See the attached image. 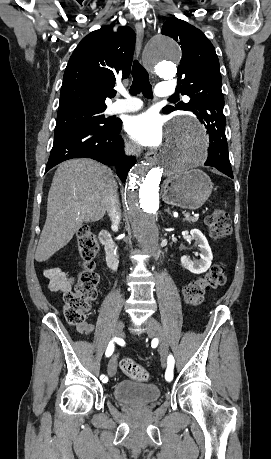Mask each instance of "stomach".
Instances as JSON below:
<instances>
[{"label":"stomach","mask_w":271,"mask_h":459,"mask_svg":"<svg viewBox=\"0 0 271 459\" xmlns=\"http://www.w3.org/2000/svg\"><path fill=\"white\" fill-rule=\"evenodd\" d=\"M213 190V184L202 170L181 172L165 180L162 198L165 204L197 210L205 204Z\"/></svg>","instance_id":"stomach-1"}]
</instances>
